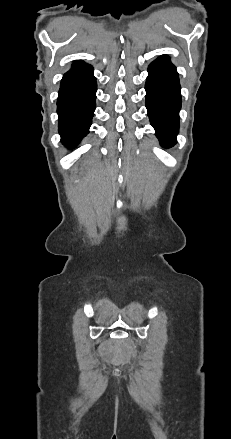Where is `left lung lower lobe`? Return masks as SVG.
<instances>
[{
    "label": "left lung lower lobe",
    "instance_id": "obj_1",
    "mask_svg": "<svg viewBox=\"0 0 231 439\" xmlns=\"http://www.w3.org/2000/svg\"><path fill=\"white\" fill-rule=\"evenodd\" d=\"M146 107L151 125L161 146L170 148L177 142L181 94L176 67L167 56H161L148 67Z\"/></svg>",
    "mask_w": 231,
    "mask_h": 439
}]
</instances>
